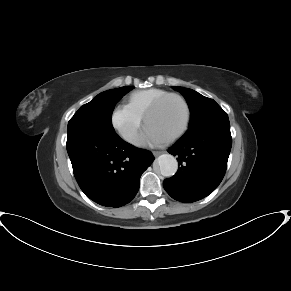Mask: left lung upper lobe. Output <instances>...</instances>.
<instances>
[{
	"instance_id": "5c2ea615",
	"label": "left lung upper lobe",
	"mask_w": 291,
	"mask_h": 291,
	"mask_svg": "<svg viewBox=\"0 0 291 291\" xmlns=\"http://www.w3.org/2000/svg\"><path fill=\"white\" fill-rule=\"evenodd\" d=\"M173 88L185 97L190 108L191 119L185 135L195 133L212 123L228 120L226 112L213 99L207 98L192 89Z\"/></svg>"
}]
</instances>
